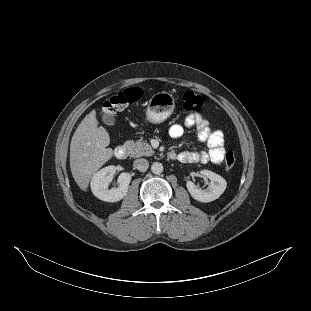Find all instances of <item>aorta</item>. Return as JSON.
<instances>
[{
    "label": "aorta",
    "instance_id": "762f6f07",
    "mask_svg": "<svg viewBox=\"0 0 311 311\" xmlns=\"http://www.w3.org/2000/svg\"><path fill=\"white\" fill-rule=\"evenodd\" d=\"M151 171L154 174H160L163 172V165L159 162H154L151 166Z\"/></svg>",
    "mask_w": 311,
    "mask_h": 311
}]
</instances>
